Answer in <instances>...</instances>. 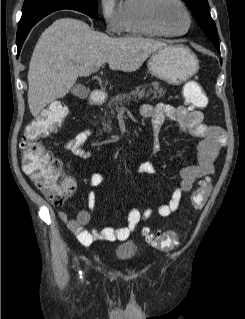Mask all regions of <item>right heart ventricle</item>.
Instances as JSON below:
<instances>
[{
    "mask_svg": "<svg viewBox=\"0 0 245 319\" xmlns=\"http://www.w3.org/2000/svg\"><path fill=\"white\" fill-rule=\"evenodd\" d=\"M149 0H123L121 2L122 32L129 35L163 36L153 28L146 17Z\"/></svg>",
    "mask_w": 245,
    "mask_h": 319,
    "instance_id": "obj_1",
    "label": "right heart ventricle"
}]
</instances>
